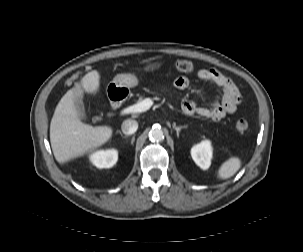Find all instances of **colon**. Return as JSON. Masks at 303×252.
Instances as JSON below:
<instances>
[{
  "mask_svg": "<svg viewBox=\"0 0 303 252\" xmlns=\"http://www.w3.org/2000/svg\"><path fill=\"white\" fill-rule=\"evenodd\" d=\"M175 69L181 73H192L195 69V65L191 61L178 60L175 62ZM235 126L240 133L247 132L250 127L249 122L244 118L238 119Z\"/></svg>",
  "mask_w": 303,
  "mask_h": 252,
  "instance_id": "colon-1",
  "label": "colon"
}]
</instances>
